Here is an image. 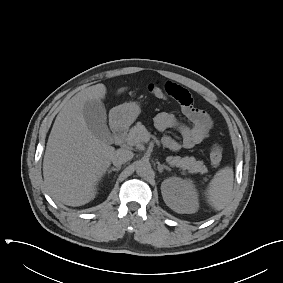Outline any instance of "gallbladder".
<instances>
[{
	"label": "gallbladder",
	"instance_id": "bac80fb5",
	"mask_svg": "<svg viewBox=\"0 0 283 283\" xmlns=\"http://www.w3.org/2000/svg\"><path fill=\"white\" fill-rule=\"evenodd\" d=\"M83 116L87 127L94 136L101 140H107L110 137V132L106 124V109L101 101H87L83 107Z\"/></svg>",
	"mask_w": 283,
	"mask_h": 283
}]
</instances>
